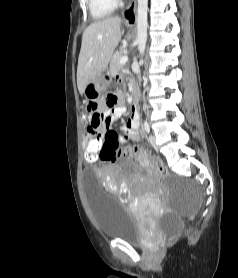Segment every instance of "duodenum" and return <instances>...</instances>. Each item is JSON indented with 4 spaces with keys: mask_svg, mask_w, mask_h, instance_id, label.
<instances>
[{
    "mask_svg": "<svg viewBox=\"0 0 238 278\" xmlns=\"http://www.w3.org/2000/svg\"><path fill=\"white\" fill-rule=\"evenodd\" d=\"M132 105H133V110L135 112H139L138 93L136 90H133Z\"/></svg>",
    "mask_w": 238,
    "mask_h": 278,
    "instance_id": "obj_1",
    "label": "duodenum"
}]
</instances>
